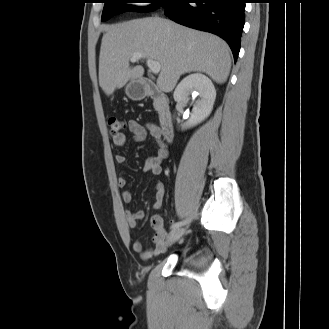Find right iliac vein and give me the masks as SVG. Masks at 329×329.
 <instances>
[{
    "instance_id": "right-iliac-vein-1",
    "label": "right iliac vein",
    "mask_w": 329,
    "mask_h": 329,
    "mask_svg": "<svg viewBox=\"0 0 329 329\" xmlns=\"http://www.w3.org/2000/svg\"><path fill=\"white\" fill-rule=\"evenodd\" d=\"M186 231V227H178L173 229L168 237V242L170 244L175 243Z\"/></svg>"
}]
</instances>
